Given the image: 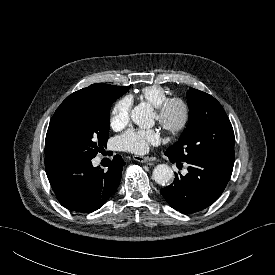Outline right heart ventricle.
<instances>
[{
    "label": "right heart ventricle",
    "instance_id": "e07e8e85",
    "mask_svg": "<svg viewBox=\"0 0 275 275\" xmlns=\"http://www.w3.org/2000/svg\"><path fill=\"white\" fill-rule=\"evenodd\" d=\"M140 97L154 107H158L168 98V93L162 86L151 85L142 88Z\"/></svg>",
    "mask_w": 275,
    "mask_h": 275
}]
</instances>
